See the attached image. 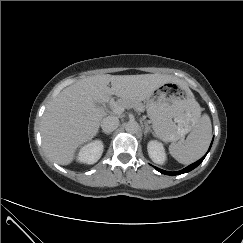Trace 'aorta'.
I'll list each match as a JSON object with an SVG mask.
<instances>
[{
  "instance_id": "obj_1",
  "label": "aorta",
  "mask_w": 243,
  "mask_h": 243,
  "mask_svg": "<svg viewBox=\"0 0 243 243\" xmlns=\"http://www.w3.org/2000/svg\"><path fill=\"white\" fill-rule=\"evenodd\" d=\"M138 129H139V124L136 121H129L125 125V130L131 134L136 133Z\"/></svg>"
}]
</instances>
